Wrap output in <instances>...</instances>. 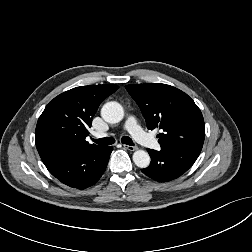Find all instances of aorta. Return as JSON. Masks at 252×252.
<instances>
[{"label": "aorta", "mask_w": 252, "mask_h": 252, "mask_svg": "<svg viewBox=\"0 0 252 252\" xmlns=\"http://www.w3.org/2000/svg\"><path fill=\"white\" fill-rule=\"evenodd\" d=\"M101 116L108 123H118L124 117V110L118 102H107L101 109ZM133 161L136 166L146 168L150 164V156L144 150H137L133 154Z\"/></svg>", "instance_id": "1"}]
</instances>
